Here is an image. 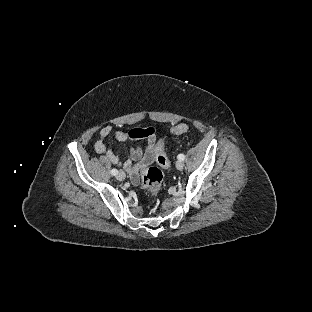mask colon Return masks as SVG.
<instances>
[{
	"label": "colon",
	"mask_w": 312,
	"mask_h": 312,
	"mask_svg": "<svg viewBox=\"0 0 312 312\" xmlns=\"http://www.w3.org/2000/svg\"><path fill=\"white\" fill-rule=\"evenodd\" d=\"M190 130V127L186 123L180 125L174 124L171 126L170 131L172 134H186ZM155 133L153 127H147L139 132V137H149ZM157 163L160 167H167L169 165L168 158L165 154H161L157 157ZM164 181V175L161 169L157 167H150L141 176V185L152 195H158Z\"/></svg>",
	"instance_id": "5ec220e1"
}]
</instances>
